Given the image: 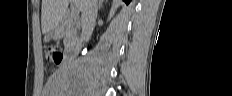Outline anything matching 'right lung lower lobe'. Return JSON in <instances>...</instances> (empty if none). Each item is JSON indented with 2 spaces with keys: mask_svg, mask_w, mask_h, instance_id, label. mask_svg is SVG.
Returning <instances> with one entry per match:
<instances>
[{
  "mask_svg": "<svg viewBox=\"0 0 232 96\" xmlns=\"http://www.w3.org/2000/svg\"><path fill=\"white\" fill-rule=\"evenodd\" d=\"M126 4L130 3L131 0H123Z\"/></svg>",
  "mask_w": 232,
  "mask_h": 96,
  "instance_id": "1",
  "label": "right lung lower lobe"
}]
</instances>
